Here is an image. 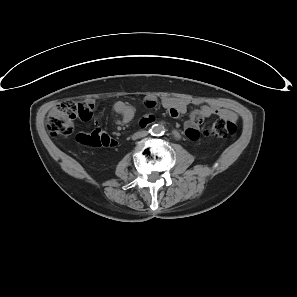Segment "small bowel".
I'll list each match as a JSON object with an SVG mask.
<instances>
[{
	"instance_id": "c3829d8e",
	"label": "small bowel",
	"mask_w": 297,
	"mask_h": 297,
	"mask_svg": "<svg viewBox=\"0 0 297 297\" xmlns=\"http://www.w3.org/2000/svg\"><path fill=\"white\" fill-rule=\"evenodd\" d=\"M145 105L148 108H153L156 105V101L152 98H147L145 100ZM162 105L164 108L168 110L171 116L178 117L179 115L187 112L189 101L185 99L166 97L162 99ZM114 110L121 116V120H118L117 124L128 123L134 117L133 107L125 102L119 101L115 103ZM213 114L226 116L228 118H234V115L230 111H227L217 106L201 104L198 109L191 112L190 119L185 123V133L187 137L192 140L198 139L200 135L198 125L205 118H209ZM152 121L153 117L148 116L145 119H143V124H148Z\"/></svg>"
}]
</instances>
